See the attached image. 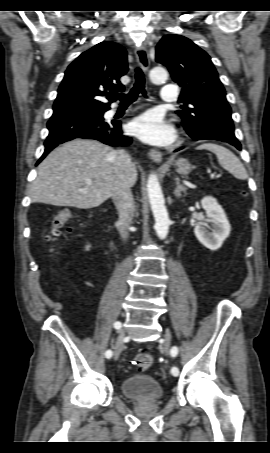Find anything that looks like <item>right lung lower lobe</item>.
<instances>
[{
	"mask_svg": "<svg viewBox=\"0 0 270 453\" xmlns=\"http://www.w3.org/2000/svg\"><path fill=\"white\" fill-rule=\"evenodd\" d=\"M110 108L102 110L103 113ZM49 135L45 141L44 157L58 144L75 139H95L111 146H126L132 141L122 134L119 122H105L103 115L94 116L86 112L53 115L47 123Z\"/></svg>",
	"mask_w": 270,
	"mask_h": 453,
	"instance_id": "right-lung-lower-lobe-1",
	"label": "right lung lower lobe"
}]
</instances>
